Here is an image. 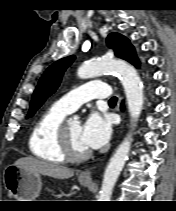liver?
Segmentation results:
<instances>
[{
    "instance_id": "liver-1",
    "label": "liver",
    "mask_w": 176,
    "mask_h": 211,
    "mask_svg": "<svg viewBox=\"0 0 176 211\" xmlns=\"http://www.w3.org/2000/svg\"><path fill=\"white\" fill-rule=\"evenodd\" d=\"M14 165L30 172L47 175L57 179H68L74 175V170L70 168L32 157L20 158Z\"/></svg>"
}]
</instances>
